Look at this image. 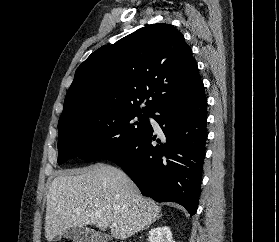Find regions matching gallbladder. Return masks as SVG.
Listing matches in <instances>:
<instances>
[{
    "label": "gallbladder",
    "mask_w": 279,
    "mask_h": 242,
    "mask_svg": "<svg viewBox=\"0 0 279 242\" xmlns=\"http://www.w3.org/2000/svg\"><path fill=\"white\" fill-rule=\"evenodd\" d=\"M64 238L70 239L73 242H106L110 237L106 234L99 233L90 228H72L66 230L63 235ZM61 236H58L56 240H60Z\"/></svg>",
    "instance_id": "obj_1"
}]
</instances>
